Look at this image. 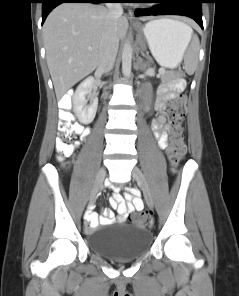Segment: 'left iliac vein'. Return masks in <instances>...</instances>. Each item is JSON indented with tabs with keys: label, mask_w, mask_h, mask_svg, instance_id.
Returning a JSON list of instances; mask_svg holds the SVG:
<instances>
[{
	"label": "left iliac vein",
	"mask_w": 239,
	"mask_h": 296,
	"mask_svg": "<svg viewBox=\"0 0 239 296\" xmlns=\"http://www.w3.org/2000/svg\"><path fill=\"white\" fill-rule=\"evenodd\" d=\"M132 177L136 180V182L138 183V185L142 189L143 194H144V199H145L147 206L149 208L153 209V206H154L153 199H152V196H151V193L149 190V186L147 184L144 174L142 173V171L139 168L135 167L132 170Z\"/></svg>",
	"instance_id": "obj_1"
}]
</instances>
